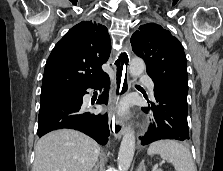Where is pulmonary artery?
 Returning a JSON list of instances; mask_svg holds the SVG:
<instances>
[{"instance_id":"obj_1","label":"pulmonary artery","mask_w":223,"mask_h":171,"mask_svg":"<svg viewBox=\"0 0 223 171\" xmlns=\"http://www.w3.org/2000/svg\"><path fill=\"white\" fill-rule=\"evenodd\" d=\"M140 81L145 84V86L147 87V89L149 90V92L152 94L154 91V84L153 82L146 76L142 75L140 77Z\"/></svg>"}]
</instances>
